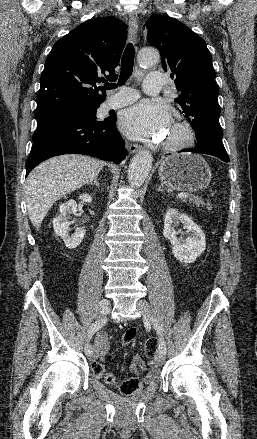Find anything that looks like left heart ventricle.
I'll list each match as a JSON object with an SVG mask.
<instances>
[{
	"mask_svg": "<svg viewBox=\"0 0 257 439\" xmlns=\"http://www.w3.org/2000/svg\"><path fill=\"white\" fill-rule=\"evenodd\" d=\"M181 134L178 130L171 127L169 131L167 132V135L165 137L166 142H173L180 138Z\"/></svg>",
	"mask_w": 257,
	"mask_h": 439,
	"instance_id": "1",
	"label": "left heart ventricle"
}]
</instances>
